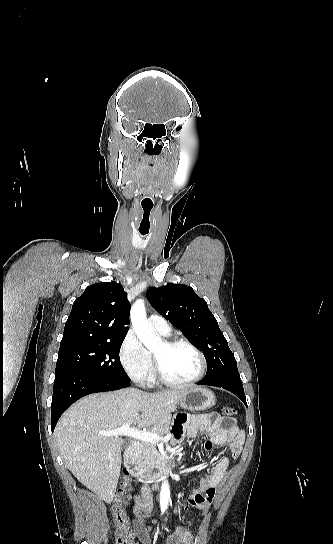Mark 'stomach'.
Segmentation results:
<instances>
[{
	"label": "stomach",
	"mask_w": 333,
	"mask_h": 544,
	"mask_svg": "<svg viewBox=\"0 0 333 544\" xmlns=\"http://www.w3.org/2000/svg\"><path fill=\"white\" fill-rule=\"evenodd\" d=\"M215 403L216 398L214 393L201 387L186 390L185 394L179 400L180 406L190 411L208 410L214 406Z\"/></svg>",
	"instance_id": "1"
}]
</instances>
